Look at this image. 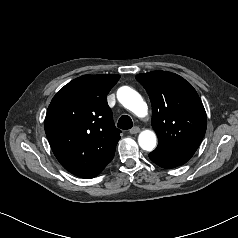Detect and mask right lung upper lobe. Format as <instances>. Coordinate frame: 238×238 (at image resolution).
Here are the masks:
<instances>
[{
	"label": "right lung upper lobe",
	"mask_w": 238,
	"mask_h": 238,
	"mask_svg": "<svg viewBox=\"0 0 238 238\" xmlns=\"http://www.w3.org/2000/svg\"><path fill=\"white\" fill-rule=\"evenodd\" d=\"M120 75H83L52 99L45 133L60 164L70 173L93 178L113 159L120 130L106 96Z\"/></svg>",
	"instance_id": "1"
}]
</instances>
